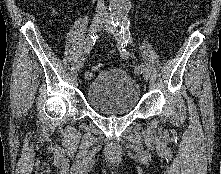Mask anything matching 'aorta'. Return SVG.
<instances>
[{"mask_svg": "<svg viewBox=\"0 0 221 174\" xmlns=\"http://www.w3.org/2000/svg\"><path fill=\"white\" fill-rule=\"evenodd\" d=\"M130 6V0H110L109 8L112 19L116 21L126 20Z\"/></svg>", "mask_w": 221, "mask_h": 174, "instance_id": "762f6f07", "label": "aorta"}]
</instances>
